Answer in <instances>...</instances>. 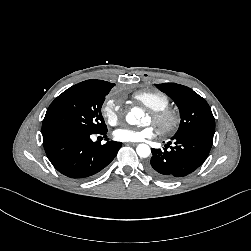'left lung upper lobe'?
I'll list each match as a JSON object with an SVG mask.
<instances>
[{
  "label": "left lung upper lobe",
  "instance_id": "1",
  "mask_svg": "<svg viewBox=\"0 0 251 251\" xmlns=\"http://www.w3.org/2000/svg\"><path fill=\"white\" fill-rule=\"evenodd\" d=\"M158 89L168 94L180 109L181 122L173 138L202 133L214 136L215 119L208 103L192 89L176 84H155Z\"/></svg>",
  "mask_w": 251,
  "mask_h": 251
}]
</instances>
